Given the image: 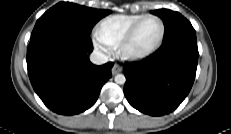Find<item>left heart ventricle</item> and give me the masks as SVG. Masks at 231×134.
I'll return each instance as SVG.
<instances>
[{"label":"left heart ventricle","instance_id":"b2bd125f","mask_svg":"<svg viewBox=\"0 0 231 134\" xmlns=\"http://www.w3.org/2000/svg\"><path fill=\"white\" fill-rule=\"evenodd\" d=\"M161 23L155 18L147 19L140 26L129 51L132 53H143L150 50L161 35Z\"/></svg>","mask_w":231,"mask_h":134}]
</instances>
